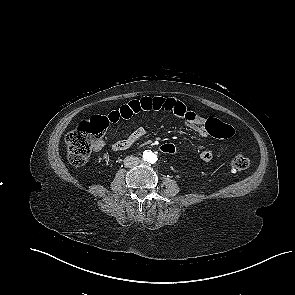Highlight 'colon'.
<instances>
[{
	"label": "colon",
	"instance_id": "1",
	"mask_svg": "<svg viewBox=\"0 0 295 295\" xmlns=\"http://www.w3.org/2000/svg\"><path fill=\"white\" fill-rule=\"evenodd\" d=\"M107 121L103 116L95 115L89 119L79 121L76 129L71 131L65 138L68 159L74 166L85 164L90 156L92 147L101 138L107 127ZM206 128L208 132L217 138H231L235 130L226 123L216 119H210ZM160 150L169 156L176 153L177 148L168 140L159 145ZM250 160L244 155H237L231 163L232 169L242 171L248 168Z\"/></svg>",
	"mask_w": 295,
	"mask_h": 295
}]
</instances>
